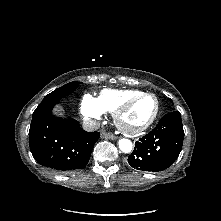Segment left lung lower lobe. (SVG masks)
I'll return each instance as SVG.
<instances>
[{"mask_svg":"<svg viewBox=\"0 0 221 221\" xmlns=\"http://www.w3.org/2000/svg\"><path fill=\"white\" fill-rule=\"evenodd\" d=\"M183 139L181 114L173 111L162 117L151 132L135 143L128 163L142 171H163L179 156Z\"/></svg>","mask_w":221,"mask_h":221,"instance_id":"left-lung-lower-lobe-1","label":"left lung lower lobe"}]
</instances>
